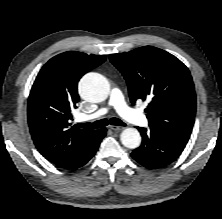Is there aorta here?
Here are the masks:
<instances>
[{"instance_id":"1","label":"aorta","mask_w":222,"mask_h":219,"mask_svg":"<svg viewBox=\"0 0 222 219\" xmlns=\"http://www.w3.org/2000/svg\"><path fill=\"white\" fill-rule=\"evenodd\" d=\"M79 93L81 97L89 102L104 101L110 91L108 80L98 73H87L79 82ZM122 144L130 149L137 148L141 143V136L137 129L126 128L120 136Z\"/></svg>"}]
</instances>
